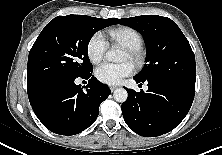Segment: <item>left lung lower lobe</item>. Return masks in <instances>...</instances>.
Returning a JSON list of instances; mask_svg holds the SVG:
<instances>
[{"instance_id":"obj_1","label":"left lung lower lobe","mask_w":222,"mask_h":155,"mask_svg":"<svg viewBox=\"0 0 222 155\" xmlns=\"http://www.w3.org/2000/svg\"><path fill=\"white\" fill-rule=\"evenodd\" d=\"M133 78L137 83L146 81L148 90L126 89L128 98L122 104L126 124L144 137L160 136L177 127L191 108L195 84L167 77Z\"/></svg>"}]
</instances>
